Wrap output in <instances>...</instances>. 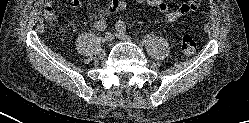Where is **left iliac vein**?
<instances>
[{"label": "left iliac vein", "mask_w": 249, "mask_h": 123, "mask_svg": "<svg viewBox=\"0 0 249 123\" xmlns=\"http://www.w3.org/2000/svg\"><path fill=\"white\" fill-rule=\"evenodd\" d=\"M115 36L123 41H128V42L132 41L128 35L119 30L116 31Z\"/></svg>", "instance_id": "obj_1"}]
</instances>
